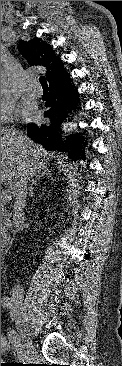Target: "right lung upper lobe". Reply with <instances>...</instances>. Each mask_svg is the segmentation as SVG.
I'll use <instances>...</instances> for the list:
<instances>
[{
	"label": "right lung upper lobe",
	"mask_w": 122,
	"mask_h": 366,
	"mask_svg": "<svg viewBox=\"0 0 122 366\" xmlns=\"http://www.w3.org/2000/svg\"><path fill=\"white\" fill-rule=\"evenodd\" d=\"M19 50L30 65L46 68V77L49 84L62 81L66 77L67 72L63 68L62 61L53 54L50 45L40 42L38 39H32L28 42L21 41Z\"/></svg>",
	"instance_id": "1"
}]
</instances>
